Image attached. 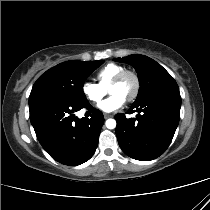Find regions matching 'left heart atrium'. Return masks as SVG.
<instances>
[{
    "label": "left heart atrium",
    "instance_id": "left-heart-atrium-1",
    "mask_svg": "<svg viewBox=\"0 0 210 210\" xmlns=\"http://www.w3.org/2000/svg\"><path fill=\"white\" fill-rule=\"evenodd\" d=\"M125 103V99L118 95V94H113L103 100L99 105L98 108L106 113H111L114 111H117L123 107Z\"/></svg>",
    "mask_w": 210,
    "mask_h": 210
}]
</instances>
